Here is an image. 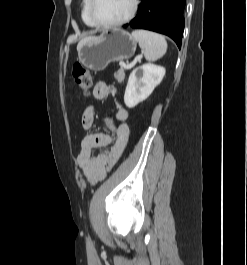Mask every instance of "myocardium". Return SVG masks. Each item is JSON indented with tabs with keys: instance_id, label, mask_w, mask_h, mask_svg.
Instances as JSON below:
<instances>
[{
	"instance_id": "f54148a6",
	"label": "myocardium",
	"mask_w": 247,
	"mask_h": 265,
	"mask_svg": "<svg viewBox=\"0 0 247 265\" xmlns=\"http://www.w3.org/2000/svg\"><path fill=\"white\" fill-rule=\"evenodd\" d=\"M95 2L96 0H90L89 2V9H88L89 17L95 26L103 28V29H112V28L120 27V26H123L129 23L135 18L138 12V9H139V5H140V0H132V8L127 16H125L124 18L118 21L112 22V23H103L96 18L95 11H94Z\"/></svg>"
}]
</instances>
